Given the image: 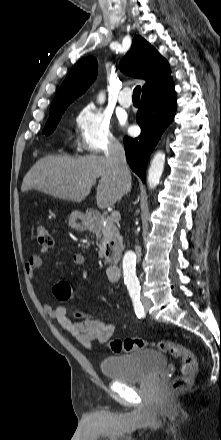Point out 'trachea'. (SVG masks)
<instances>
[{"label":"trachea","mask_w":221,"mask_h":440,"mask_svg":"<svg viewBox=\"0 0 221 440\" xmlns=\"http://www.w3.org/2000/svg\"><path fill=\"white\" fill-rule=\"evenodd\" d=\"M140 91H141V87L140 86H137L133 90V99H140Z\"/></svg>","instance_id":"obj_1"}]
</instances>
